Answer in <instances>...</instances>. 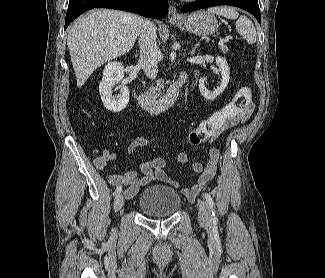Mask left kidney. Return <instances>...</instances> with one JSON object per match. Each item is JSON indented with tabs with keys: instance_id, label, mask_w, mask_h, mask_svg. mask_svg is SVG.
<instances>
[{
	"instance_id": "left-kidney-1",
	"label": "left kidney",
	"mask_w": 325,
	"mask_h": 278,
	"mask_svg": "<svg viewBox=\"0 0 325 278\" xmlns=\"http://www.w3.org/2000/svg\"><path fill=\"white\" fill-rule=\"evenodd\" d=\"M216 64L219 66V72L222 78H221L220 85L216 89H214V91H209L206 88L205 86L206 79L204 77H201L199 79L200 92L205 99L210 101L215 100L221 93H223L230 79V71L226 59L223 57H217Z\"/></svg>"
}]
</instances>
